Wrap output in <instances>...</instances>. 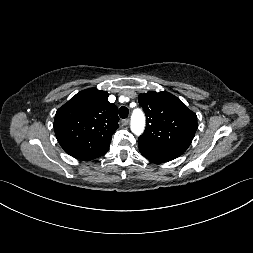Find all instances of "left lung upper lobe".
Here are the masks:
<instances>
[{
  "label": "left lung upper lobe",
  "mask_w": 253,
  "mask_h": 253,
  "mask_svg": "<svg viewBox=\"0 0 253 253\" xmlns=\"http://www.w3.org/2000/svg\"><path fill=\"white\" fill-rule=\"evenodd\" d=\"M138 99L147 119L138 145L182 155L197 130L196 114L166 91H149L139 94Z\"/></svg>",
  "instance_id": "left-lung-upper-lobe-1"
}]
</instances>
